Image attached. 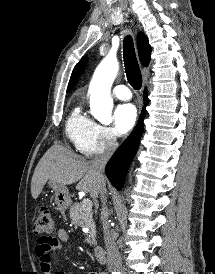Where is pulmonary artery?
Wrapping results in <instances>:
<instances>
[{
	"mask_svg": "<svg viewBox=\"0 0 215 274\" xmlns=\"http://www.w3.org/2000/svg\"><path fill=\"white\" fill-rule=\"evenodd\" d=\"M113 95L120 100H130L132 95L129 88L125 85H117L113 88Z\"/></svg>",
	"mask_w": 215,
	"mask_h": 274,
	"instance_id": "pulmonary-artery-1",
	"label": "pulmonary artery"
}]
</instances>
